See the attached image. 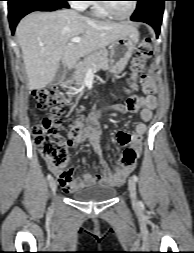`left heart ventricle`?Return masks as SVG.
Segmentation results:
<instances>
[{"mask_svg": "<svg viewBox=\"0 0 194 253\" xmlns=\"http://www.w3.org/2000/svg\"><path fill=\"white\" fill-rule=\"evenodd\" d=\"M107 5L117 15H126L132 7V1H113L108 2Z\"/></svg>", "mask_w": 194, "mask_h": 253, "instance_id": "1", "label": "left heart ventricle"}]
</instances>
